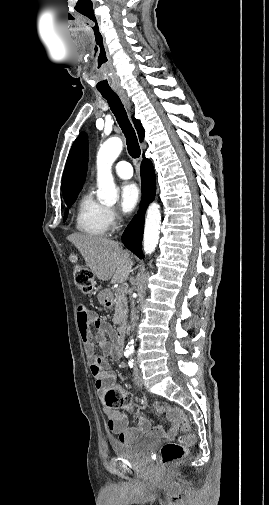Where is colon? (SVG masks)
Wrapping results in <instances>:
<instances>
[{
	"label": "colon",
	"mask_w": 269,
	"mask_h": 505,
	"mask_svg": "<svg viewBox=\"0 0 269 505\" xmlns=\"http://www.w3.org/2000/svg\"><path fill=\"white\" fill-rule=\"evenodd\" d=\"M75 261V259H74ZM74 282L78 290L83 294H91L95 289V280L92 272L81 264L75 263L73 268ZM104 403L109 407H122L132 409V398L129 394L123 393L118 387L110 388L104 394ZM154 410L158 414L170 413L172 418L181 426L185 433L177 441L168 442L161 448V459L164 465H171L183 459L187 454V449L194 441L193 435L187 433L190 423L187 416L179 409L169 410L164 406H156Z\"/></svg>",
	"instance_id": "colon-1"
}]
</instances>
